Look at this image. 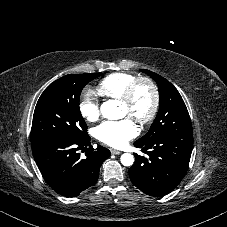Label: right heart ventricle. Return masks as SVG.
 <instances>
[{
	"label": "right heart ventricle",
	"instance_id": "1",
	"mask_svg": "<svg viewBox=\"0 0 227 227\" xmlns=\"http://www.w3.org/2000/svg\"><path fill=\"white\" fill-rule=\"evenodd\" d=\"M137 76L127 72H115L103 78L96 86V93L105 99H120Z\"/></svg>",
	"mask_w": 227,
	"mask_h": 227
}]
</instances>
